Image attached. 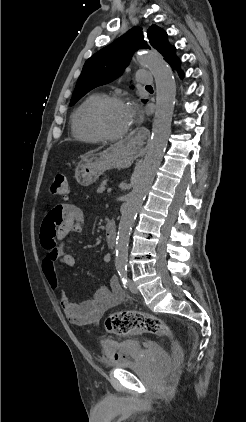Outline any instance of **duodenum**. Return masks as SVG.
I'll return each instance as SVG.
<instances>
[{
  "instance_id": "duodenum-1",
  "label": "duodenum",
  "mask_w": 246,
  "mask_h": 422,
  "mask_svg": "<svg viewBox=\"0 0 246 422\" xmlns=\"http://www.w3.org/2000/svg\"><path fill=\"white\" fill-rule=\"evenodd\" d=\"M105 240L108 248L113 249L115 248L116 244V226L115 223L112 221H108L106 223L105 228Z\"/></svg>"
}]
</instances>
